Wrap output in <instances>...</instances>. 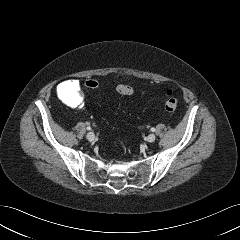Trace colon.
<instances>
[{
	"mask_svg": "<svg viewBox=\"0 0 240 240\" xmlns=\"http://www.w3.org/2000/svg\"><path fill=\"white\" fill-rule=\"evenodd\" d=\"M85 86L88 89L95 90L99 87V83L95 79H88L85 81ZM71 89V84L66 82L62 84V89ZM117 92L121 95L129 96L133 93V89L131 86L126 85V84H120L117 86ZM178 106V101L174 97L172 91L167 90L166 91V99H165V108L167 111H174L176 110Z\"/></svg>",
	"mask_w": 240,
	"mask_h": 240,
	"instance_id": "5ec220e1",
	"label": "colon"
}]
</instances>
